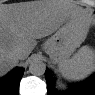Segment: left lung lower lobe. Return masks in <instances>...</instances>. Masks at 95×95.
<instances>
[{
  "label": "left lung lower lobe",
  "instance_id": "0a47b994",
  "mask_svg": "<svg viewBox=\"0 0 95 95\" xmlns=\"http://www.w3.org/2000/svg\"><path fill=\"white\" fill-rule=\"evenodd\" d=\"M45 78L47 80L48 89H52L53 79L50 77L49 71H46ZM95 91V77H91L86 82L76 85L72 90V95H89Z\"/></svg>",
  "mask_w": 95,
  "mask_h": 95
}]
</instances>
